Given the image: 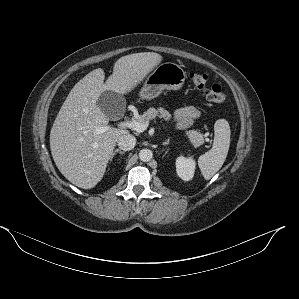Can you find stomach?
<instances>
[{
    "instance_id": "1",
    "label": "stomach",
    "mask_w": 299,
    "mask_h": 299,
    "mask_svg": "<svg viewBox=\"0 0 299 299\" xmlns=\"http://www.w3.org/2000/svg\"><path fill=\"white\" fill-rule=\"evenodd\" d=\"M186 72L173 62L158 65L145 80L139 93L142 100L156 98L164 89L178 91L186 80Z\"/></svg>"
}]
</instances>
